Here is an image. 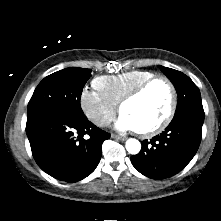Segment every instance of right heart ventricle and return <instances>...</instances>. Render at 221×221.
<instances>
[{
  "instance_id": "e07e8e85",
  "label": "right heart ventricle",
  "mask_w": 221,
  "mask_h": 221,
  "mask_svg": "<svg viewBox=\"0 0 221 221\" xmlns=\"http://www.w3.org/2000/svg\"><path fill=\"white\" fill-rule=\"evenodd\" d=\"M153 76L155 74L150 71L132 70L117 75L99 76L93 81V86L115 104H119L128 92Z\"/></svg>"
}]
</instances>
